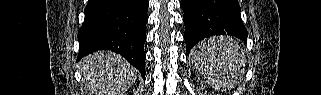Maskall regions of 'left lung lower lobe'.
Returning a JSON list of instances; mask_svg holds the SVG:
<instances>
[{"mask_svg": "<svg viewBox=\"0 0 321 95\" xmlns=\"http://www.w3.org/2000/svg\"><path fill=\"white\" fill-rule=\"evenodd\" d=\"M187 54L205 37L232 35L247 40L237 0H181Z\"/></svg>", "mask_w": 321, "mask_h": 95, "instance_id": "left-lung-lower-lobe-1", "label": "left lung lower lobe"}]
</instances>
